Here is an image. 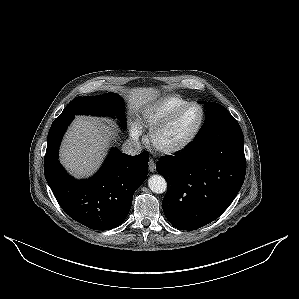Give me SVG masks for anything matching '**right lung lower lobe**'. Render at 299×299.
I'll list each match as a JSON object with an SVG mask.
<instances>
[{
	"mask_svg": "<svg viewBox=\"0 0 299 299\" xmlns=\"http://www.w3.org/2000/svg\"><path fill=\"white\" fill-rule=\"evenodd\" d=\"M74 115H60L48 133L44 158L46 180L62 209L93 230L118 227L131 208L133 194L148 174L149 155L121 153L112 148L101 169L88 180H76L58 160L62 136Z\"/></svg>",
	"mask_w": 299,
	"mask_h": 299,
	"instance_id": "98d812e1",
	"label": "right lung lower lobe"
}]
</instances>
